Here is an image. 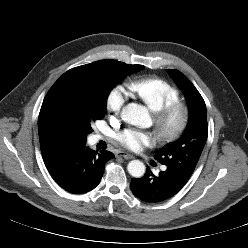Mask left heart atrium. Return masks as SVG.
Returning a JSON list of instances; mask_svg holds the SVG:
<instances>
[{
  "mask_svg": "<svg viewBox=\"0 0 248 248\" xmlns=\"http://www.w3.org/2000/svg\"><path fill=\"white\" fill-rule=\"evenodd\" d=\"M118 141L125 148L139 151L145 146H152L156 142V136L151 132L135 128H127L118 134Z\"/></svg>",
  "mask_w": 248,
  "mask_h": 248,
  "instance_id": "39dd6f15",
  "label": "left heart atrium"
}]
</instances>
